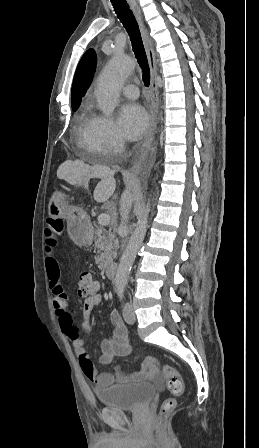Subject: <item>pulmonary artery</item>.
<instances>
[{"mask_svg": "<svg viewBox=\"0 0 259 448\" xmlns=\"http://www.w3.org/2000/svg\"><path fill=\"white\" fill-rule=\"evenodd\" d=\"M114 63L116 65L118 73L123 77H127L133 71V68L135 66V59L131 55L124 54L119 55L114 60ZM119 91L120 93L132 99H135L139 96L137 88L133 84H123L119 87Z\"/></svg>", "mask_w": 259, "mask_h": 448, "instance_id": "e3ab8cb5", "label": "pulmonary artery"}]
</instances>
